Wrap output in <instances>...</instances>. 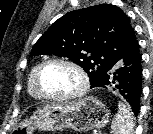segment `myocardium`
<instances>
[{
	"mask_svg": "<svg viewBox=\"0 0 153 134\" xmlns=\"http://www.w3.org/2000/svg\"><path fill=\"white\" fill-rule=\"evenodd\" d=\"M51 64H62V65H66L70 67L71 69H73L77 73L80 79V85L78 89L66 95H50V94L45 93L41 88L40 79H41V75L43 71L45 70V68ZM34 84H35V89L37 93L42 99H45L48 101L63 102V101L74 100V99L80 98L83 95H85L90 86V78H89L87 71L78 62L68 59V58L55 57V58H50L39 65L36 71V74H35Z\"/></svg>",
	"mask_w": 153,
	"mask_h": 134,
	"instance_id": "myocardium-1",
	"label": "myocardium"
}]
</instances>
